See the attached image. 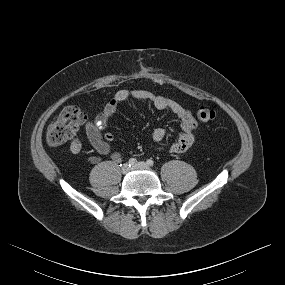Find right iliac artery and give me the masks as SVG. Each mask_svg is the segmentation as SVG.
<instances>
[{
  "instance_id": "82829eb1",
  "label": "right iliac artery",
  "mask_w": 285,
  "mask_h": 285,
  "mask_svg": "<svg viewBox=\"0 0 285 285\" xmlns=\"http://www.w3.org/2000/svg\"><path fill=\"white\" fill-rule=\"evenodd\" d=\"M137 160L135 158H130L128 161V166H133L134 164H136Z\"/></svg>"
}]
</instances>
